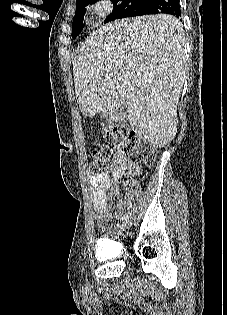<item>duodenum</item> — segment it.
Returning <instances> with one entry per match:
<instances>
[{"instance_id": "1", "label": "duodenum", "mask_w": 227, "mask_h": 315, "mask_svg": "<svg viewBox=\"0 0 227 315\" xmlns=\"http://www.w3.org/2000/svg\"><path fill=\"white\" fill-rule=\"evenodd\" d=\"M109 119H110V122H116L117 121V117H115L113 115L110 116Z\"/></svg>"}]
</instances>
